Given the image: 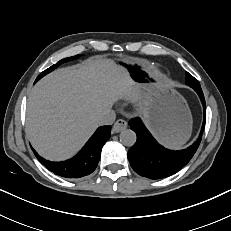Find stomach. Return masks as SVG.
Listing matches in <instances>:
<instances>
[{
    "label": "stomach",
    "mask_w": 231,
    "mask_h": 231,
    "mask_svg": "<svg viewBox=\"0 0 231 231\" xmlns=\"http://www.w3.org/2000/svg\"><path fill=\"white\" fill-rule=\"evenodd\" d=\"M128 72L146 98L148 128L165 146L179 147L190 137L192 116L185 99L148 61L119 57L113 60Z\"/></svg>",
    "instance_id": "1"
}]
</instances>
